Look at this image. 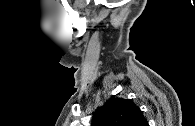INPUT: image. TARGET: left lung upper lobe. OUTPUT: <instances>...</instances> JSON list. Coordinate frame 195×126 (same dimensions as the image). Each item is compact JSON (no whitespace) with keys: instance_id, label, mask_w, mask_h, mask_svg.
<instances>
[{"instance_id":"left-lung-upper-lobe-1","label":"left lung upper lobe","mask_w":195,"mask_h":126,"mask_svg":"<svg viewBox=\"0 0 195 126\" xmlns=\"http://www.w3.org/2000/svg\"><path fill=\"white\" fill-rule=\"evenodd\" d=\"M147 120L131 100L111 98L93 117L92 126H144Z\"/></svg>"}]
</instances>
